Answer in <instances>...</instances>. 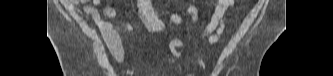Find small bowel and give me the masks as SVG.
<instances>
[{"mask_svg": "<svg viewBox=\"0 0 333 76\" xmlns=\"http://www.w3.org/2000/svg\"><path fill=\"white\" fill-rule=\"evenodd\" d=\"M72 7L83 4L82 11L89 15L95 25L99 28L104 43L111 55L121 62L126 54L122 45L120 30H132L131 24H118L113 22L116 17V12L112 6H103L101 0H69L67 1ZM137 14L143 24L151 32H161L164 30V21L156 11L153 3L150 0L135 1ZM234 5V0H219L214 10V14L203 32V37L209 44H214L218 41L224 29V18L226 12ZM186 11L191 16L193 22L197 21L198 9L194 5H186ZM168 20L176 25H184V19L178 14H171ZM184 47V42L179 39H174L170 42V57L166 63H172L179 59L182 55L181 49Z\"/></svg>", "mask_w": 333, "mask_h": 76, "instance_id": "c3829d8e", "label": "small bowel"}]
</instances>
